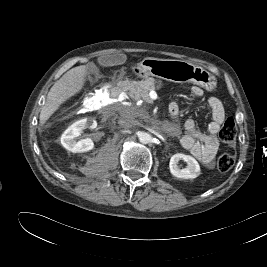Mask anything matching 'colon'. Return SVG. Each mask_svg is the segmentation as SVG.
Here are the masks:
<instances>
[{"instance_id":"obj_1","label":"colon","mask_w":267,"mask_h":267,"mask_svg":"<svg viewBox=\"0 0 267 267\" xmlns=\"http://www.w3.org/2000/svg\"><path fill=\"white\" fill-rule=\"evenodd\" d=\"M67 110L63 108L61 110L62 113H65ZM220 138L221 140L233 146L236 142V135H237V125L233 118H227L220 130ZM235 162L234 155L224 152L222 153L217 160V168L220 172H227L229 171Z\"/></svg>"}]
</instances>
